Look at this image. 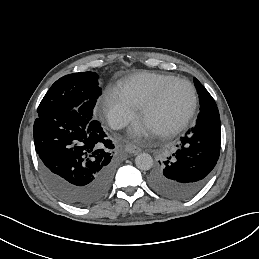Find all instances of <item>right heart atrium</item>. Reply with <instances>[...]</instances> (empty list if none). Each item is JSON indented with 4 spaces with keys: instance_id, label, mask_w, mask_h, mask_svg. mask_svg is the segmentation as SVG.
Masks as SVG:
<instances>
[{
    "instance_id": "1",
    "label": "right heart atrium",
    "mask_w": 259,
    "mask_h": 259,
    "mask_svg": "<svg viewBox=\"0 0 259 259\" xmlns=\"http://www.w3.org/2000/svg\"><path fill=\"white\" fill-rule=\"evenodd\" d=\"M99 111L114 128H122L134 121L141 106L129 97L121 87L106 86L98 98Z\"/></svg>"
}]
</instances>
